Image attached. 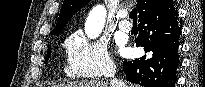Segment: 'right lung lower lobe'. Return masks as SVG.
Masks as SVG:
<instances>
[{"instance_id":"98d812e1","label":"right lung lower lobe","mask_w":205,"mask_h":87,"mask_svg":"<svg viewBox=\"0 0 205 87\" xmlns=\"http://www.w3.org/2000/svg\"><path fill=\"white\" fill-rule=\"evenodd\" d=\"M136 45L148 53L124 61L127 80L144 87H174L179 61L181 28L172 0H162L139 17Z\"/></svg>"}]
</instances>
